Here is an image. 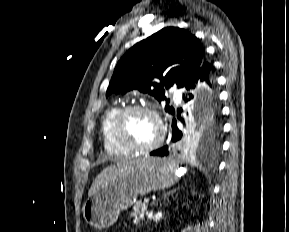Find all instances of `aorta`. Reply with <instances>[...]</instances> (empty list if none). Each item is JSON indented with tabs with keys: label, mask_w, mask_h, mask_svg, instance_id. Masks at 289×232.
Returning a JSON list of instances; mask_svg holds the SVG:
<instances>
[{
	"label": "aorta",
	"mask_w": 289,
	"mask_h": 232,
	"mask_svg": "<svg viewBox=\"0 0 289 232\" xmlns=\"http://www.w3.org/2000/svg\"><path fill=\"white\" fill-rule=\"evenodd\" d=\"M212 110V100L209 94H205L202 100V113L198 122L200 123Z\"/></svg>",
	"instance_id": "1"
}]
</instances>
